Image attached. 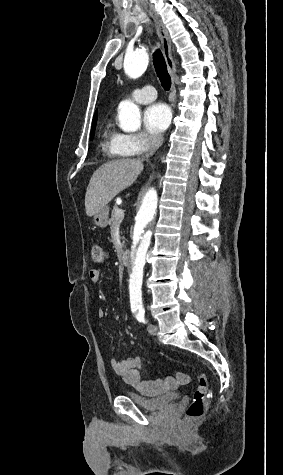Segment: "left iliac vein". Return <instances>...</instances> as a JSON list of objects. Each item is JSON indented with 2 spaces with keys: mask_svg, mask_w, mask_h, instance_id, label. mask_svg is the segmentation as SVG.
Instances as JSON below:
<instances>
[{
  "mask_svg": "<svg viewBox=\"0 0 283 475\" xmlns=\"http://www.w3.org/2000/svg\"><path fill=\"white\" fill-rule=\"evenodd\" d=\"M147 331L151 334V335H156L157 332H158V327L154 324H149L148 327H147Z\"/></svg>",
  "mask_w": 283,
  "mask_h": 475,
  "instance_id": "obj_1",
  "label": "left iliac vein"
}]
</instances>
